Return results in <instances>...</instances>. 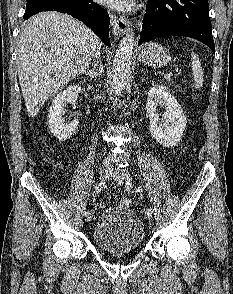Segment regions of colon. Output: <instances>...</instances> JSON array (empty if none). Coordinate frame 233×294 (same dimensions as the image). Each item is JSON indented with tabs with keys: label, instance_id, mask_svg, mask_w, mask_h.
I'll use <instances>...</instances> for the list:
<instances>
[{
	"label": "colon",
	"instance_id": "1",
	"mask_svg": "<svg viewBox=\"0 0 233 294\" xmlns=\"http://www.w3.org/2000/svg\"><path fill=\"white\" fill-rule=\"evenodd\" d=\"M122 207L130 208L133 205V201L130 198H123L120 201Z\"/></svg>",
	"mask_w": 233,
	"mask_h": 294
}]
</instances>
